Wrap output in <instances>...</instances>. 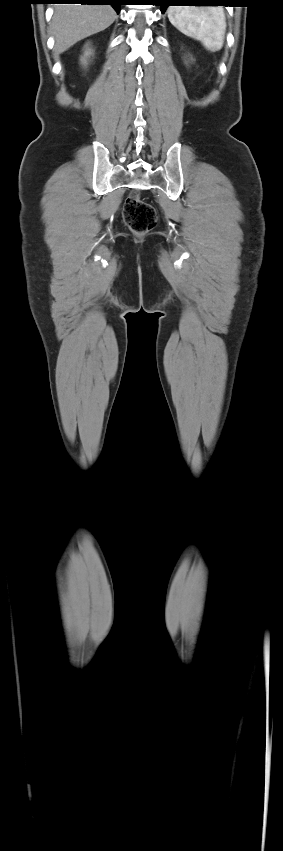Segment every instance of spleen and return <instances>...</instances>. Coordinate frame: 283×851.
Instances as JSON below:
<instances>
[{
    "mask_svg": "<svg viewBox=\"0 0 283 851\" xmlns=\"http://www.w3.org/2000/svg\"><path fill=\"white\" fill-rule=\"evenodd\" d=\"M171 24L184 35L200 41L210 52L223 47L226 18L222 7H181L168 9Z\"/></svg>",
    "mask_w": 283,
    "mask_h": 851,
    "instance_id": "3e777b00",
    "label": "spleen"
}]
</instances>
